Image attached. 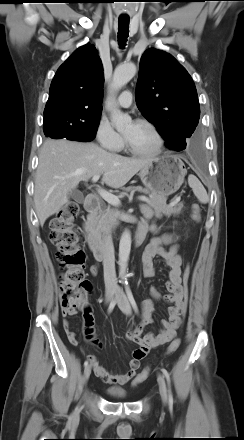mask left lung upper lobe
Segmentation results:
<instances>
[{"label": "left lung upper lobe", "mask_w": 244, "mask_h": 440, "mask_svg": "<svg viewBox=\"0 0 244 440\" xmlns=\"http://www.w3.org/2000/svg\"><path fill=\"white\" fill-rule=\"evenodd\" d=\"M136 102L169 149L186 148L198 124L200 107L191 76L173 56L157 49L143 54Z\"/></svg>", "instance_id": "1"}]
</instances>
